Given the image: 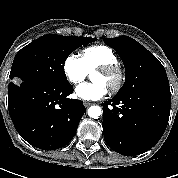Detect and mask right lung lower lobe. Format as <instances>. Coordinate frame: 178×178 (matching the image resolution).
I'll list each match as a JSON object with an SVG mask.
<instances>
[{"instance_id":"obj_1","label":"right lung lower lobe","mask_w":178,"mask_h":178,"mask_svg":"<svg viewBox=\"0 0 178 178\" xmlns=\"http://www.w3.org/2000/svg\"><path fill=\"white\" fill-rule=\"evenodd\" d=\"M69 82L8 86V108L12 122L29 144L55 150L68 144L86 109L79 100L69 99Z\"/></svg>"}]
</instances>
